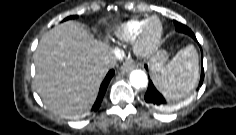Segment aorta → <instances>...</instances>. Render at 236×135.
I'll list each match as a JSON object with an SVG mask.
<instances>
[{
    "label": "aorta",
    "instance_id": "762f6f07",
    "mask_svg": "<svg viewBox=\"0 0 236 135\" xmlns=\"http://www.w3.org/2000/svg\"><path fill=\"white\" fill-rule=\"evenodd\" d=\"M129 80L131 85L136 89L146 87L148 85L147 75L142 70H133L130 73Z\"/></svg>",
    "mask_w": 236,
    "mask_h": 135
}]
</instances>
